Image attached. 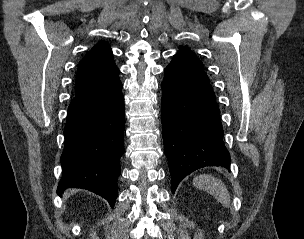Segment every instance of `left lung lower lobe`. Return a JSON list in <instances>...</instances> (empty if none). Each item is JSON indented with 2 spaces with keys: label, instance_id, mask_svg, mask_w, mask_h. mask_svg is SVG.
Instances as JSON below:
<instances>
[{
  "label": "left lung lower lobe",
  "instance_id": "0a47b994",
  "mask_svg": "<svg viewBox=\"0 0 304 239\" xmlns=\"http://www.w3.org/2000/svg\"><path fill=\"white\" fill-rule=\"evenodd\" d=\"M162 131L174 193L181 180L201 167L229 168L220 110L202 68L176 54L164 70Z\"/></svg>",
  "mask_w": 304,
  "mask_h": 239
}]
</instances>
